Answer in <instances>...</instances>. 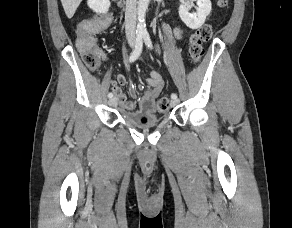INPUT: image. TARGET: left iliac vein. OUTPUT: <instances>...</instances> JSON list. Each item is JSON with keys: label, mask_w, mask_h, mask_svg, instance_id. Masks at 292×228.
<instances>
[{"label": "left iliac vein", "mask_w": 292, "mask_h": 228, "mask_svg": "<svg viewBox=\"0 0 292 228\" xmlns=\"http://www.w3.org/2000/svg\"><path fill=\"white\" fill-rule=\"evenodd\" d=\"M178 104V100L177 99H172L171 100V106H176Z\"/></svg>", "instance_id": "left-iliac-vein-1"}]
</instances>
